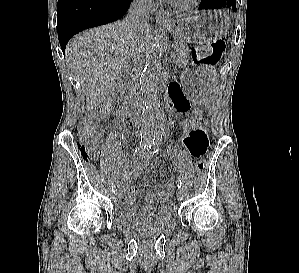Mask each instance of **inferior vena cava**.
Listing matches in <instances>:
<instances>
[{
    "mask_svg": "<svg viewBox=\"0 0 299 273\" xmlns=\"http://www.w3.org/2000/svg\"><path fill=\"white\" fill-rule=\"evenodd\" d=\"M151 3L150 0H133L126 17V22L134 29H141L144 27H148L149 21V11H150ZM139 55H132V64H129L127 67V72L129 74V90L133 94V108L135 110V114H140V97L136 93V89L139 86L138 83V73H137V65L139 61Z\"/></svg>",
    "mask_w": 299,
    "mask_h": 273,
    "instance_id": "inferior-vena-cava-1",
    "label": "inferior vena cava"
}]
</instances>
